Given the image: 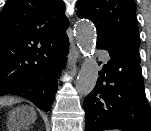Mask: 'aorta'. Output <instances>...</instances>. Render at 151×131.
Segmentation results:
<instances>
[{
    "label": "aorta",
    "instance_id": "aorta-1",
    "mask_svg": "<svg viewBox=\"0 0 151 131\" xmlns=\"http://www.w3.org/2000/svg\"><path fill=\"white\" fill-rule=\"evenodd\" d=\"M76 40L85 61L78 73L76 90L80 95H88L95 87L99 66L92 58L96 45V30L88 20H80L75 28Z\"/></svg>",
    "mask_w": 151,
    "mask_h": 131
}]
</instances>
